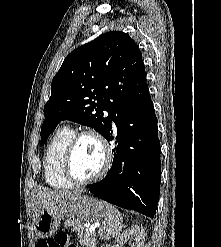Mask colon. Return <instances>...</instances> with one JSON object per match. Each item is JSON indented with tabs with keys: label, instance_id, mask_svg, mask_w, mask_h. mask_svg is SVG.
I'll list each match as a JSON object with an SVG mask.
<instances>
[{
	"label": "colon",
	"instance_id": "1",
	"mask_svg": "<svg viewBox=\"0 0 221 247\" xmlns=\"http://www.w3.org/2000/svg\"><path fill=\"white\" fill-rule=\"evenodd\" d=\"M68 239L65 234L59 233L54 237L45 240L43 243H39L40 247H70L73 245L67 244Z\"/></svg>",
	"mask_w": 221,
	"mask_h": 247
}]
</instances>
